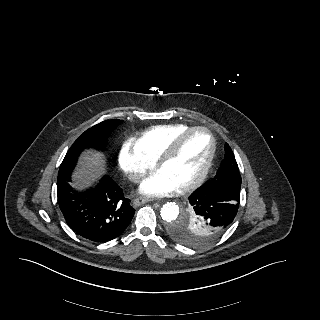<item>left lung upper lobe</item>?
<instances>
[{
    "label": "left lung upper lobe",
    "instance_id": "1",
    "mask_svg": "<svg viewBox=\"0 0 320 320\" xmlns=\"http://www.w3.org/2000/svg\"><path fill=\"white\" fill-rule=\"evenodd\" d=\"M224 149L225 155L221 168L217 175L207 182V185L219 184L240 191L241 176L235 156L227 143ZM208 229L205 221L191 206L182 223H172L168 227L171 236L187 246H195L211 240L207 236Z\"/></svg>",
    "mask_w": 320,
    "mask_h": 320
}]
</instances>
